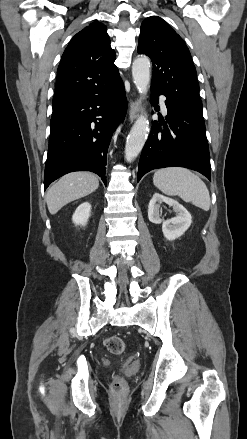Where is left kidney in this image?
<instances>
[{
	"mask_svg": "<svg viewBox=\"0 0 247 439\" xmlns=\"http://www.w3.org/2000/svg\"><path fill=\"white\" fill-rule=\"evenodd\" d=\"M162 202L173 207V211L176 213L175 217L168 220L160 217L159 209ZM148 218L154 224L162 223V232L167 240H175L182 236L192 223L191 214L183 205L159 193H155L149 202Z\"/></svg>",
	"mask_w": 247,
	"mask_h": 439,
	"instance_id": "1",
	"label": "left kidney"
}]
</instances>
